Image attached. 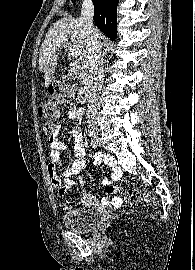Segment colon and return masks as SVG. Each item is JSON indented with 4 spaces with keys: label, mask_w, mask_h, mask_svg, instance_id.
<instances>
[{
    "label": "colon",
    "mask_w": 195,
    "mask_h": 270,
    "mask_svg": "<svg viewBox=\"0 0 195 270\" xmlns=\"http://www.w3.org/2000/svg\"><path fill=\"white\" fill-rule=\"evenodd\" d=\"M79 82L74 78H65L52 88L51 95L38 107V114L45 119L43 130L46 134L52 135L55 131L54 121L59 116V104L72 96ZM126 199L130 204H138L145 201L151 206L156 205L155 198L150 194H142L136 189H129L126 192Z\"/></svg>",
    "instance_id": "1"
}]
</instances>
